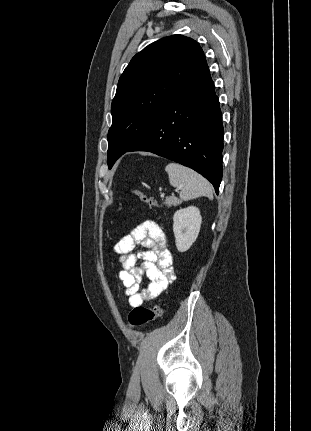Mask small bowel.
<instances>
[{
  "label": "small bowel",
  "mask_w": 311,
  "mask_h": 431,
  "mask_svg": "<svg viewBox=\"0 0 311 431\" xmlns=\"http://www.w3.org/2000/svg\"><path fill=\"white\" fill-rule=\"evenodd\" d=\"M141 245L147 250L134 254ZM122 266L119 279L130 306H141L144 301L158 297L175 279L173 258L167 248L166 236L160 226L152 220L137 225L114 246ZM142 260L137 265L138 260ZM146 276L150 283L140 289V282Z\"/></svg>",
  "instance_id": "c3829d8e"
}]
</instances>
